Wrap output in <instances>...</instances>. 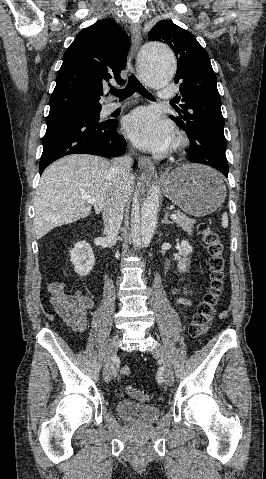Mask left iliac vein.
Listing matches in <instances>:
<instances>
[{"mask_svg":"<svg viewBox=\"0 0 266 479\" xmlns=\"http://www.w3.org/2000/svg\"><path fill=\"white\" fill-rule=\"evenodd\" d=\"M152 354L162 360L164 366V382L167 386H171L174 381V373L164 347L160 343H156L152 348Z\"/></svg>","mask_w":266,"mask_h":479,"instance_id":"obj_1","label":"left iliac vein"}]
</instances>
